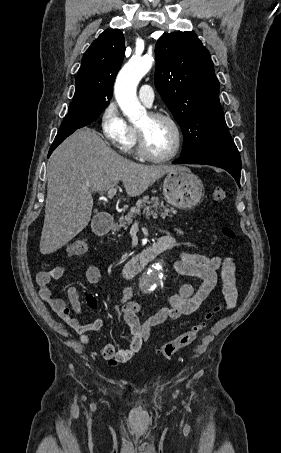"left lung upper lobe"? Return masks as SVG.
<instances>
[{
    "label": "left lung upper lobe",
    "instance_id": "1",
    "mask_svg": "<svg viewBox=\"0 0 281 453\" xmlns=\"http://www.w3.org/2000/svg\"><path fill=\"white\" fill-rule=\"evenodd\" d=\"M155 56L156 88L183 132L181 157L235 147L210 54L197 35L164 34L156 43Z\"/></svg>",
    "mask_w": 281,
    "mask_h": 453
}]
</instances>
